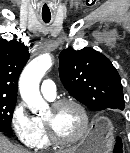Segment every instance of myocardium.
Masks as SVG:
<instances>
[{
  "instance_id": "1",
  "label": "myocardium",
  "mask_w": 130,
  "mask_h": 153,
  "mask_svg": "<svg viewBox=\"0 0 130 153\" xmlns=\"http://www.w3.org/2000/svg\"><path fill=\"white\" fill-rule=\"evenodd\" d=\"M64 105H72L78 109L82 118V127L80 132L73 138H64L56 132L51 117H44V124L51 141L60 145H73L85 138L90 127L89 115L86 108L78 100L74 98H61L51 104L50 109L56 111Z\"/></svg>"
}]
</instances>
